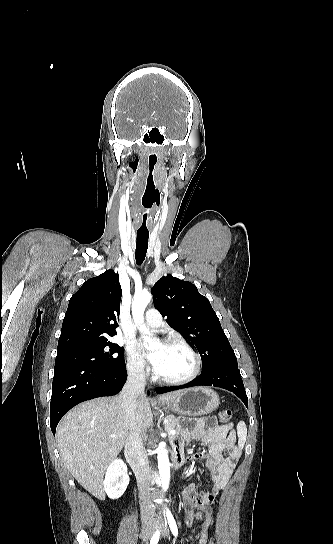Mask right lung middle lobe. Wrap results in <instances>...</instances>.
<instances>
[{
	"label": "right lung middle lobe",
	"instance_id": "obj_1",
	"mask_svg": "<svg viewBox=\"0 0 333 544\" xmlns=\"http://www.w3.org/2000/svg\"><path fill=\"white\" fill-rule=\"evenodd\" d=\"M56 359L78 360L108 370L125 368L124 349L108 338L81 343L57 350Z\"/></svg>",
	"mask_w": 333,
	"mask_h": 544
}]
</instances>
